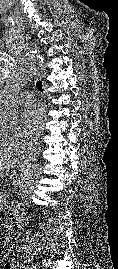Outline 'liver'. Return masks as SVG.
<instances>
[{"label": "liver", "instance_id": "6515ba94", "mask_svg": "<svg viewBox=\"0 0 118 269\" xmlns=\"http://www.w3.org/2000/svg\"><path fill=\"white\" fill-rule=\"evenodd\" d=\"M18 163L17 158H10L9 156L0 157V170H10Z\"/></svg>", "mask_w": 118, "mask_h": 269}]
</instances>
